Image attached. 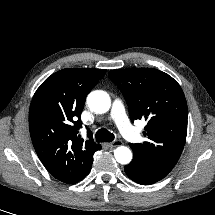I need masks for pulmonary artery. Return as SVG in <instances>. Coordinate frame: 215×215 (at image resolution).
<instances>
[{"instance_id": "pulmonary-artery-1", "label": "pulmonary artery", "mask_w": 215, "mask_h": 215, "mask_svg": "<svg viewBox=\"0 0 215 215\" xmlns=\"http://www.w3.org/2000/svg\"><path fill=\"white\" fill-rule=\"evenodd\" d=\"M110 118L115 122L122 135L132 142L139 140L140 135L130 124L122 102L118 99L113 101Z\"/></svg>"}]
</instances>
